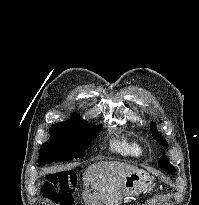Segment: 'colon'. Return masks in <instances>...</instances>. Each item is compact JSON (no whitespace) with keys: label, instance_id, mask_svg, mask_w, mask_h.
<instances>
[{"label":"colon","instance_id":"5ec220e1","mask_svg":"<svg viewBox=\"0 0 199 205\" xmlns=\"http://www.w3.org/2000/svg\"><path fill=\"white\" fill-rule=\"evenodd\" d=\"M75 175L71 171L49 174L43 182V196L52 203H58L72 191Z\"/></svg>","mask_w":199,"mask_h":205}]
</instances>
